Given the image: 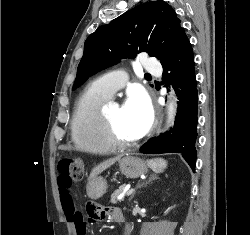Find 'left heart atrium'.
<instances>
[{
    "label": "left heart atrium",
    "mask_w": 250,
    "mask_h": 235,
    "mask_svg": "<svg viewBox=\"0 0 250 235\" xmlns=\"http://www.w3.org/2000/svg\"><path fill=\"white\" fill-rule=\"evenodd\" d=\"M124 109L132 119L139 136L144 135L153 121V109L146 93L140 90L130 92Z\"/></svg>",
    "instance_id": "obj_1"
}]
</instances>
